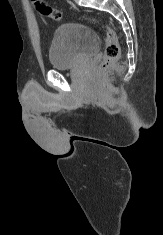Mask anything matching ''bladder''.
<instances>
[{
  "label": "bladder",
  "instance_id": "31cf9c89",
  "mask_svg": "<svg viewBox=\"0 0 163 235\" xmlns=\"http://www.w3.org/2000/svg\"><path fill=\"white\" fill-rule=\"evenodd\" d=\"M99 39L94 30L81 23L59 26L52 37L49 59L52 68L67 69L99 49Z\"/></svg>",
  "mask_w": 163,
  "mask_h": 235
}]
</instances>
